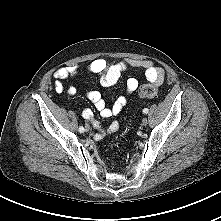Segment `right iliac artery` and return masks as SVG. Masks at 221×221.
<instances>
[{
  "label": "right iliac artery",
  "instance_id": "1",
  "mask_svg": "<svg viewBox=\"0 0 221 221\" xmlns=\"http://www.w3.org/2000/svg\"><path fill=\"white\" fill-rule=\"evenodd\" d=\"M79 132L83 133L84 132V128L82 126L79 127Z\"/></svg>",
  "mask_w": 221,
  "mask_h": 221
}]
</instances>
